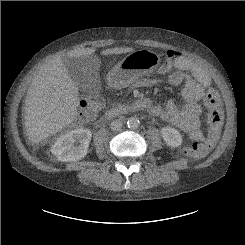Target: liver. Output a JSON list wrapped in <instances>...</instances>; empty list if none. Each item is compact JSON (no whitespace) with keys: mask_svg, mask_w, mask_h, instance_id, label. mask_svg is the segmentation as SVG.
<instances>
[{"mask_svg":"<svg viewBox=\"0 0 245 245\" xmlns=\"http://www.w3.org/2000/svg\"><path fill=\"white\" fill-rule=\"evenodd\" d=\"M134 51L130 47H115L102 55ZM94 48L69 51L63 57L47 62L33 78L25 99V127L28 139L39 143L71 124L77 116L79 90L70 77L66 61L91 55Z\"/></svg>","mask_w":245,"mask_h":245,"instance_id":"liver-1","label":"liver"}]
</instances>
